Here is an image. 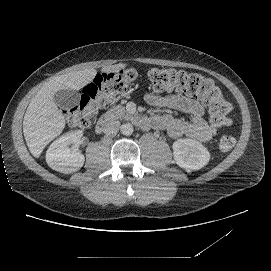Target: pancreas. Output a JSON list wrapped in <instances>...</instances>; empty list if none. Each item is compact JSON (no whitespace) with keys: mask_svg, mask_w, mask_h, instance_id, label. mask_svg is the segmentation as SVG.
<instances>
[{"mask_svg":"<svg viewBox=\"0 0 271 271\" xmlns=\"http://www.w3.org/2000/svg\"><path fill=\"white\" fill-rule=\"evenodd\" d=\"M109 114L116 118H129V115L126 113L125 108L116 106L112 110L109 111ZM104 117H102L100 120L102 121Z\"/></svg>","mask_w":271,"mask_h":271,"instance_id":"pancreas-1","label":"pancreas"}]
</instances>
